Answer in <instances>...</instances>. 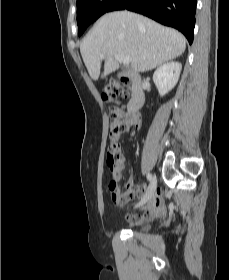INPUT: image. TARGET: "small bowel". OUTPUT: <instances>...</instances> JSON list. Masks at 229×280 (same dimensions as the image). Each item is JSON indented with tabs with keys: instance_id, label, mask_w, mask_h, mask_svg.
Returning a JSON list of instances; mask_svg holds the SVG:
<instances>
[{
	"instance_id": "1",
	"label": "small bowel",
	"mask_w": 229,
	"mask_h": 280,
	"mask_svg": "<svg viewBox=\"0 0 229 280\" xmlns=\"http://www.w3.org/2000/svg\"><path fill=\"white\" fill-rule=\"evenodd\" d=\"M133 136L134 132H131L130 137ZM124 163L125 156L123 153H120L115 160L114 169L110 173L112 177L109 182L110 197L113 204L119 208L124 207L129 201L133 199L142 200L148 194L146 185L135 184V181L132 177H129L126 180L123 189H120L117 186V183L120 180V174L124 169ZM114 182L116 183V187H112ZM138 210L140 212L139 214H126L128 221L133 225H137L142 221L150 220L155 217L163 216L165 213V208L160 190H155L149 193L145 203L138 205Z\"/></svg>"
}]
</instances>
